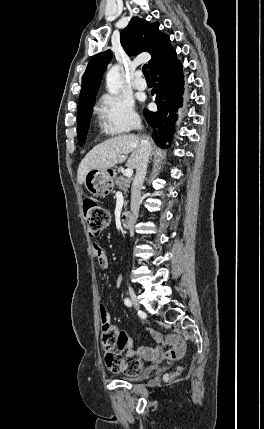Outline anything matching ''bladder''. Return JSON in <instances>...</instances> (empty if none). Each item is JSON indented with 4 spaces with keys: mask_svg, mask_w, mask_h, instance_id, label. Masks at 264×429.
Here are the masks:
<instances>
[{
    "mask_svg": "<svg viewBox=\"0 0 264 429\" xmlns=\"http://www.w3.org/2000/svg\"><path fill=\"white\" fill-rule=\"evenodd\" d=\"M152 372H153V368L148 367L136 375H127L124 377V379L128 380V381H139V380H143V379H146L147 377H149Z\"/></svg>",
    "mask_w": 264,
    "mask_h": 429,
    "instance_id": "bladder-1",
    "label": "bladder"
}]
</instances>
